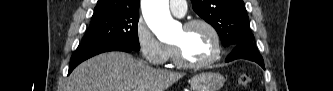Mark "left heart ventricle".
<instances>
[{
	"mask_svg": "<svg viewBox=\"0 0 333 91\" xmlns=\"http://www.w3.org/2000/svg\"><path fill=\"white\" fill-rule=\"evenodd\" d=\"M174 45L179 46L185 58L192 62H201L209 59L215 50L212 35L202 26H197L190 30L182 27L174 41Z\"/></svg>",
	"mask_w": 333,
	"mask_h": 91,
	"instance_id": "left-heart-ventricle-1",
	"label": "left heart ventricle"
}]
</instances>
